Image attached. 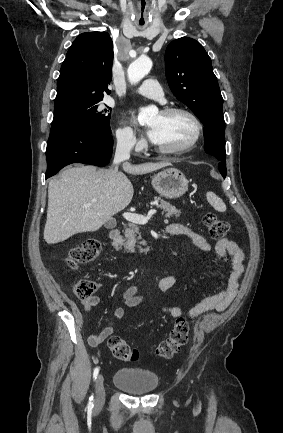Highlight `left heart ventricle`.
<instances>
[{"label": "left heart ventricle", "mask_w": 283, "mask_h": 433, "mask_svg": "<svg viewBox=\"0 0 283 433\" xmlns=\"http://www.w3.org/2000/svg\"><path fill=\"white\" fill-rule=\"evenodd\" d=\"M151 128L158 132L157 149H179L189 143L195 135L193 120L182 113L165 116L160 112L151 120Z\"/></svg>", "instance_id": "obj_1"}]
</instances>
